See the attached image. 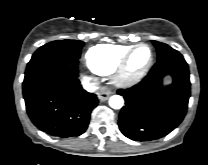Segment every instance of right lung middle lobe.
Listing matches in <instances>:
<instances>
[{
	"label": "right lung middle lobe",
	"mask_w": 208,
	"mask_h": 165,
	"mask_svg": "<svg viewBox=\"0 0 208 165\" xmlns=\"http://www.w3.org/2000/svg\"><path fill=\"white\" fill-rule=\"evenodd\" d=\"M84 46V42L76 40H61V41H52L41 46L32 56L31 60L37 59L43 55L64 51L69 53L75 58H79L81 54V49Z\"/></svg>",
	"instance_id": "1"
}]
</instances>
